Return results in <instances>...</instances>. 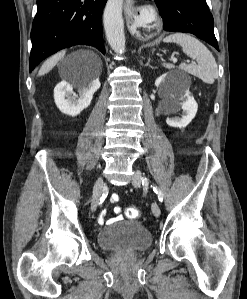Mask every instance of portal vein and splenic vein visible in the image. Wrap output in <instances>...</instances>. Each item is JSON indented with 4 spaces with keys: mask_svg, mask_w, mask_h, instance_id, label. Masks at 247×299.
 Returning <instances> with one entry per match:
<instances>
[{
    "mask_svg": "<svg viewBox=\"0 0 247 299\" xmlns=\"http://www.w3.org/2000/svg\"><path fill=\"white\" fill-rule=\"evenodd\" d=\"M171 60L173 61V62H176L177 61V59L176 58H171ZM189 61V60H188Z\"/></svg>",
    "mask_w": 247,
    "mask_h": 299,
    "instance_id": "obj_1",
    "label": "portal vein and splenic vein"
}]
</instances>
